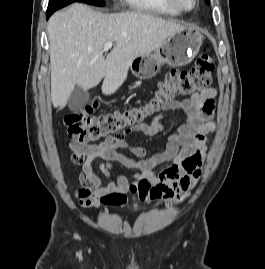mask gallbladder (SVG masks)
Returning a JSON list of instances; mask_svg holds the SVG:
<instances>
[{
	"label": "gallbladder",
	"instance_id": "gallbladder-1",
	"mask_svg": "<svg viewBox=\"0 0 265 269\" xmlns=\"http://www.w3.org/2000/svg\"><path fill=\"white\" fill-rule=\"evenodd\" d=\"M90 94L81 87L76 86L68 100V107L71 111H77L83 108L89 101Z\"/></svg>",
	"mask_w": 265,
	"mask_h": 269
}]
</instances>
